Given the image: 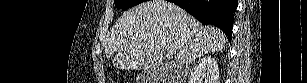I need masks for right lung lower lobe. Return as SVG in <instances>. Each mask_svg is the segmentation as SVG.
I'll return each mask as SVG.
<instances>
[{"instance_id":"right-lung-lower-lobe-1","label":"right lung lower lobe","mask_w":307,"mask_h":83,"mask_svg":"<svg viewBox=\"0 0 307 83\" xmlns=\"http://www.w3.org/2000/svg\"><path fill=\"white\" fill-rule=\"evenodd\" d=\"M203 24L220 28L231 41L238 0H172Z\"/></svg>"}]
</instances>
